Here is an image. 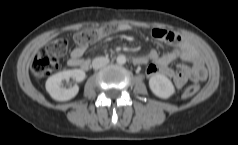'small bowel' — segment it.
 <instances>
[{"mask_svg":"<svg viewBox=\"0 0 238 145\" xmlns=\"http://www.w3.org/2000/svg\"><path fill=\"white\" fill-rule=\"evenodd\" d=\"M133 27L126 23H119L116 26V31H132ZM152 35L161 41L169 42L173 48L160 54L156 50H151L148 54L137 56L138 65L149 63L146 68V74L149 77L163 75L173 79V83L177 88H182L189 80L199 82L204 80L207 75V70L204 66L201 55L191 46L190 43L183 40L181 36L174 32L165 31L162 29H154ZM85 48L75 47L69 56L68 65L70 67H78L82 70H88L90 61L83 58ZM177 58L191 64V67L179 65L178 71L174 72L170 64Z\"/></svg>","mask_w":238,"mask_h":145,"instance_id":"1","label":"small bowel"}]
</instances>
